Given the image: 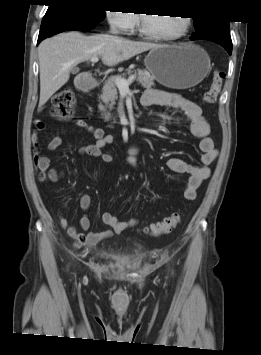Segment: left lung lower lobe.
Segmentation results:
<instances>
[{
  "mask_svg": "<svg viewBox=\"0 0 261 355\" xmlns=\"http://www.w3.org/2000/svg\"><path fill=\"white\" fill-rule=\"evenodd\" d=\"M207 40H211V39H207ZM211 41L217 42L218 44L223 46L228 51L229 54L232 53V43H225V42L215 41V40H211Z\"/></svg>",
  "mask_w": 261,
  "mask_h": 355,
  "instance_id": "left-lung-lower-lobe-1",
  "label": "left lung lower lobe"
}]
</instances>
